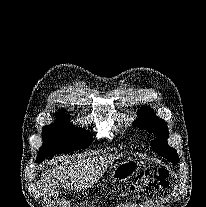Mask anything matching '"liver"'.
Masks as SVG:
<instances>
[{
  "mask_svg": "<svg viewBox=\"0 0 206 207\" xmlns=\"http://www.w3.org/2000/svg\"><path fill=\"white\" fill-rule=\"evenodd\" d=\"M113 160L84 156L65 157L41 174L42 188L46 196H58L59 184L67 190H82L93 185L104 173L105 167Z\"/></svg>",
  "mask_w": 206,
  "mask_h": 207,
  "instance_id": "1",
  "label": "liver"
}]
</instances>
